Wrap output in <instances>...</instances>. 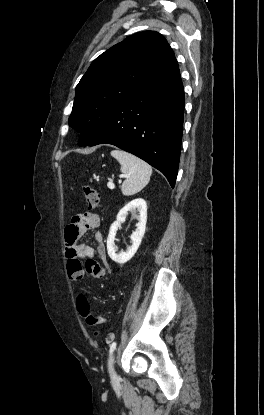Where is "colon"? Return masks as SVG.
Here are the masks:
<instances>
[{"mask_svg":"<svg viewBox=\"0 0 264 415\" xmlns=\"http://www.w3.org/2000/svg\"><path fill=\"white\" fill-rule=\"evenodd\" d=\"M83 194L88 206V209H95L100 204V194L92 187L86 185L83 187ZM69 272L80 279L82 273L93 279L102 278L104 275V268L101 264L94 260H88L85 264L79 261H71L69 263ZM77 310L79 314L85 319L90 327H98L103 323L102 316L91 309L90 303L84 295H79L76 301ZM99 332H96L98 335Z\"/></svg>","mask_w":264,"mask_h":415,"instance_id":"5ec220e1","label":"colon"}]
</instances>
